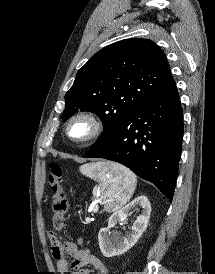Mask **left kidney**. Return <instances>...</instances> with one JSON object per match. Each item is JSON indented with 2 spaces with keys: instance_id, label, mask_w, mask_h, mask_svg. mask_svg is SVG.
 <instances>
[{
  "instance_id": "obj_1",
  "label": "left kidney",
  "mask_w": 215,
  "mask_h": 274,
  "mask_svg": "<svg viewBox=\"0 0 215 274\" xmlns=\"http://www.w3.org/2000/svg\"><path fill=\"white\" fill-rule=\"evenodd\" d=\"M140 205L143 210L133 223L131 232L126 237L118 235L111 236L110 229L119 221L124 220L129 215L132 209H137ZM151 213V205L146 196H139L132 202L114 212L108 220V227L102 228L98 234V242L100 250L105 257H113L122 255L130 248H132L145 231Z\"/></svg>"
}]
</instances>
